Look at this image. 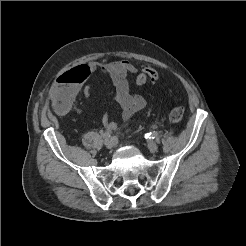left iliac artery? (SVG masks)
<instances>
[{
  "label": "left iliac artery",
  "instance_id": "obj_1",
  "mask_svg": "<svg viewBox=\"0 0 246 246\" xmlns=\"http://www.w3.org/2000/svg\"><path fill=\"white\" fill-rule=\"evenodd\" d=\"M157 136H158V133L155 132V131H153V132L147 133V134L145 135V138H147V139H154V138H156Z\"/></svg>",
  "mask_w": 246,
  "mask_h": 246
}]
</instances>
